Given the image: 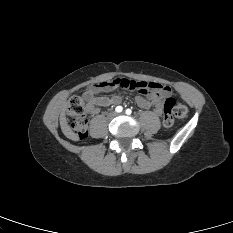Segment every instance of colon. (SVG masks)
Segmentation results:
<instances>
[{
    "instance_id": "1",
    "label": "colon",
    "mask_w": 233,
    "mask_h": 233,
    "mask_svg": "<svg viewBox=\"0 0 233 233\" xmlns=\"http://www.w3.org/2000/svg\"><path fill=\"white\" fill-rule=\"evenodd\" d=\"M106 88L117 89L118 91L127 89L137 92H146L149 90L145 84L140 81L128 79H116L105 82ZM86 106L85 101L79 96H73L68 103V114L72 118L70 135L77 139H85L88 136L87 122L84 119ZM187 115V107L177 102L174 98H167L164 103V120L166 127H171L175 119H184Z\"/></svg>"
}]
</instances>
